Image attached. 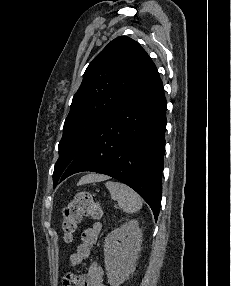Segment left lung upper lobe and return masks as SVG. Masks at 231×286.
<instances>
[{"label": "left lung upper lobe", "instance_id": "1", "mask_svg": "<svg viewBox=\"0 0 231 286\" xmlns=\"http://www.w3.org/2000/svg\"><path fill=\"white\" fill-rule=\"evenodd\" d=\"M155 69L144 49L126 36L112 40L93 59L64 123L53 187L98 124Z\"/></svg>", "mask_w": 231, "mask_h": 286}]
</instances>
